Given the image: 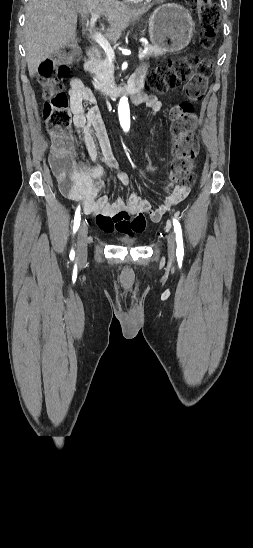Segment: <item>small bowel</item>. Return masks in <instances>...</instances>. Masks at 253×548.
Listing matches in <instances>:
<instances>
[{
	"label": "small bowel",
	"mask_w": 253,
	"mask_h": 548,
	"mask_svg": "<svg viewBox=\"0 0 253 548\" xmlns=\"http://www.w3.org/2000/svg\"><path fill=\"white\" fill-rule=\"evenodd\" d=\"M137 75L143 78L145 67H140L134 76ZM69 96L73 123L81 135L90 159L96 160L100 148L105 165L90 166L83 161L78 162L68 183L60 182V190L67 198L82 202L86 213L95 214L97 224L103 231H116L126 235L141 233L146 226L145 213H148L153 221H159L172 206L188 196L190 186L181 184L171 175L170 194L156 208L148 199L136 193L129 194L125 201L120 197L112 201L108 196L101 195L105 188L107 171L117 170L118 162L113 155L109 136L91 90L80 79L74 78L70 83ZM133 102L143 104L152 111L161 108V102L156 96L145 93H138L133 97ZM85 103H89L91 107L86 109ZM116 177L123 186L129 185L130 180L126 173L118 172Z\"/></svg>",
	"instance_id": "small-bowel-1"
}]
</instances>
